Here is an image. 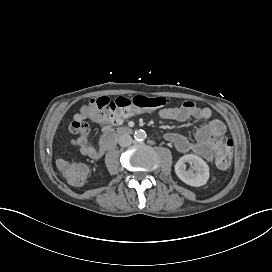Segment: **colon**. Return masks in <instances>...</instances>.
<instances>
[{
	"label": "colon",
	"instance_id": "1",
	"mask_svg": "<svg viewBox=\"0 0 272 272\" xmlns=\"http://www.w3.org/2000/svg\"><path fill=\"white\" fill-rule=\"evenodd\" d=\"M168 101L167 98L162 96L127 98L123 95H115L112 103L106 96H98L96 100H92V103L97 105V109H100L111 124H121L137 111L158 110L166 106ZM68 131L71 135L85 137L90 132V126L84 119L76 118L69 123ZM207 142L209 146L215 148L214 155L217 167L222 170L228 168L234 151V141L223 132L213 131L209 133ZM59 172L62 176L68 177L71 186L78 187L82 184L83 178L87 176L88 169L83 164L73 166L69 162H64L60 165Z\"/></svg>",
	"mask_w": 272,
	"mask_h": 272
}]
</instances>
